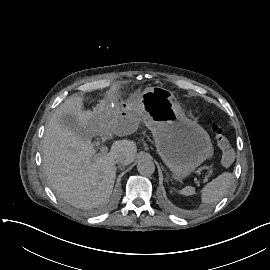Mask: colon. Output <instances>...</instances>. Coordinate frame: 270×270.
<instances>
[{"mask_svg": "<svg viewBox=\"0 0 270 270\" xmlns=\"http://www.w3.org/2000/svg\"><path fill=\"white\" fill-rule=\"evenodd\" d=\"M210 129L216 138V144L219 149L223 152L221 160L225 164H230L234 160L233 150L231 148L229 140L224 135V130L217 124H210Z\"/></svg>", "mask_w": 270, "mask_h": 270, "instance_id": "5ec220e1", "label": "colon"}]
</instances>
